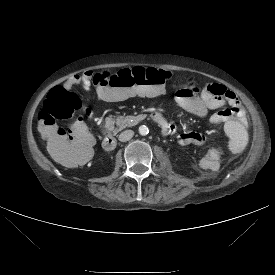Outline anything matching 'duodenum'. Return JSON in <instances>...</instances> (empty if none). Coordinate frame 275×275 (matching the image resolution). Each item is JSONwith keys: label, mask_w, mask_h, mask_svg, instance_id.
<instances>
[{"label": "duodenum", "mask_w": 275, "mask_h": 275, "mask_svg": "<svg viewBox=\"0 0 275 275\" xmlns=\"http://www.w3.org/2000/svg\"><path fill=\"white\" fill-rule=\"evenodd\" d=\"M153 120L159 125L164 124V117L159 114H153ZM106 136L103 139L102 146L107 151H112L116 148L117 141L113 135V125L111 122L106 125Z\"/></svg>", "instance_id": "410a0bca"}]
</instances>
